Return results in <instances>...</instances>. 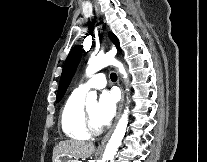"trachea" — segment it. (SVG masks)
<instances>
[{"label": "trachea", "mask_w": 207, "mask_h": 162, "mask_svg": "<svg viewBox=\"0 0 207 162\" xmlns=\"http://www.w3.org/2000/svg\"><path fill=\"white\" fill-rule=\"evenodd\" d=\"M110 78L112 81H116L117 80V75L115 73H111Z\"/></svg>", "instance_id": "obj_1"}]
</instances>
